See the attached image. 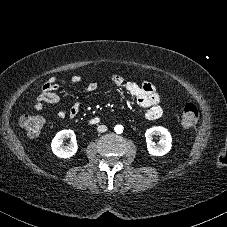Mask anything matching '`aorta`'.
Instances as JSON below:
<instances>
[{"mask_svg":"<svg viewBox=\"0 0 227 227\" xmlns=\"http://www.w3.org/2000/svg\"><path fill=\"white\" fill-rule=\"evenodd\" d=\"M123 126L122 125H116L115 127H114V130H115V132L117 133V134H121L122 132H123Z\"/></svg>","mask_w":227,"mask_h":227,"instance_id":"aorta-1","label":"aorta"}]
</instances>
